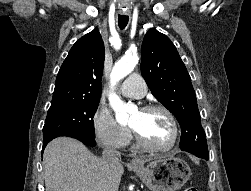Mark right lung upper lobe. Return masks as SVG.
Listing matches in <instances>:
<instances>
[{
  "label": "right lung upper lobe",
  "instance_id": "obj_1",
  "mask_svg": "<svg viewBox=\"0 0 251 191\" xmlns=\"http://www.w3.org/2000/svg\"><path fill=\"white\" fill-rule=\"evenodd\" d=\"M104 55L97 29L77 40L58 72L51 106L100 101Z\"/></svg>",
  "mask_w": 251,
  "mask_h": 191
}]
</instances>
